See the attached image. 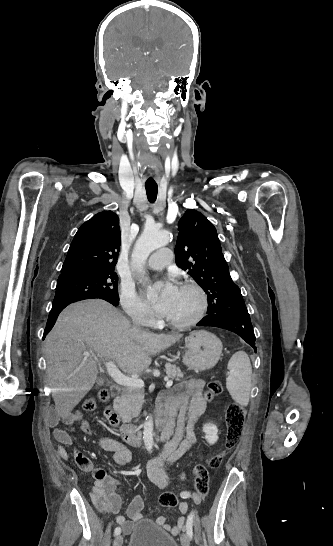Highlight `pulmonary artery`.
<instances>
[{
    "label": "pulmonary artery",
    "instance_id": "e3ab8cb5",
    "mask_svg": "<svg viewBox=\"0 0 333 546\" xmlns=\"http://www.w3.org/2000/svg\"><path fill=\"white\" fill-rule=\"evenodd\" d=\"M172 251L168 248H161L154 252L147 261V268L161 270L170 264Z\"/></svg>",
    "mask_w": 333,
    "mask_h": 546
}]
</instances>
